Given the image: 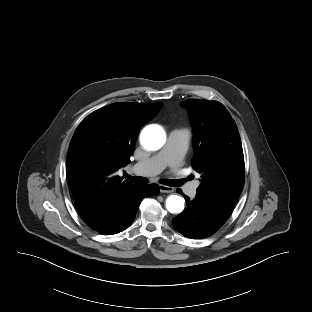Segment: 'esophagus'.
<instances>
[{"mask_svg":"<svg viewBox=\"0 0 312 312\" xmlns=\"http://www.w3.org/2000/svg\"><path fill=\"white\" fill-rule=\"evenodd\" d=\"M159 189H160L161 193H172V192H174V188L173 187L166 186V185H163V184L159 185Z\"/></svg>","mask_w":312,"mask_h":312,"instance_id":"esophagus-1","label":"esophagus"}]
</instances>
